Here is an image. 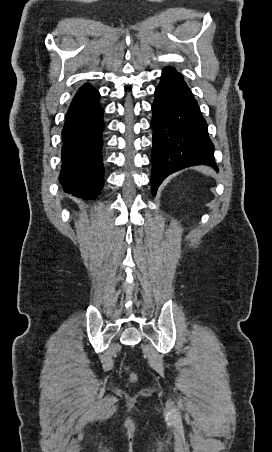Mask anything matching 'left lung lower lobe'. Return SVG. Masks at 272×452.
Here are the masks:
<instances>
[{
    "label": "left lung lower lobe",
    "mask_w": 272,
    "mask_h": 452,
    "mask_svg": "<svg viewBox=\"0 0 272 452\" xmlns=\"http://www.w3.org/2000/svg\"><path fill=\"white\" fill-rule=\"evenodd\" d=\"M152 111L153 195L171 173L199 164L216 168L206 120L183 77L172 67L162 72Z\"/></svg>",
    "instance_id": "left-lung-lower-lobe-1"
}]
</instances>
